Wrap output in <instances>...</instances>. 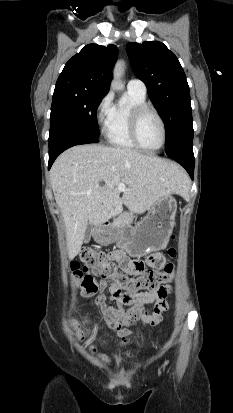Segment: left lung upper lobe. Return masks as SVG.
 <instances>
[{
  "instance_id": "left-lung-upper-lobe-1",
  "label": "left lung upper lobe",
  "mask_w": 233,
  "mask_h": 413,
  "mask_svg": "<svg viewBox=\"0 0 233 413\" xmlns=\"http://www.w3.org/2000/svg\"><path fill=\"white\" fill-rule=\"evenodd\" d=\"M132 68L148 90L167 132L166 150L192 147L193 124L189 86L177 57L161 42L128 43Z\"/></svg>"
}]
</instances>
